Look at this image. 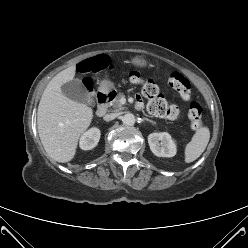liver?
Masks as SVG:
<instances>
[{
  "mask_svg": "<svg viewBox=\"0 0 248 248\" xmlns=\"http://www.w3.org/2000/svg\"><path fill=\"white\" fill-rule=\"evenodd\" d=\"M73 65L58 73L46 86L39 102L37 127L41 143L57 162L72 160L80 137L93 119V110L86 104L66 97L61 87L74 79Z\"/></svg>",
  "mask_w": 248,
  "mask_h": 248,
  "instance_id": "6515ba94",
  "label": "liver"
}]
</instances>
